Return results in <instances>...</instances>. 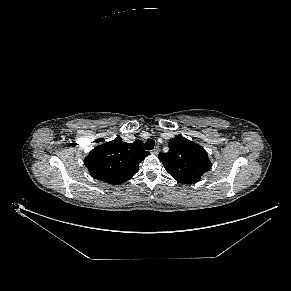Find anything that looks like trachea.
<instances>
[{"label":"trachea","mask_w":291,"mask_h":291,"mask_svg":"<svg viewBox=\"0 0 291 291\" xmlns=\"http://www.w3.org/2000/svg\"><path fill=\"white\" fill-rule=\"evenodd\" d=\"M155 146V141L153 139H149L145 142V149L152 150Z\"/></svg>","instance_id":"trachea-1"}]
</instances>
